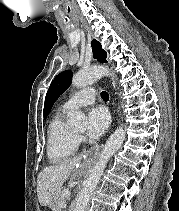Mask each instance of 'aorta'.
<instances>
[{
  "mask_svg": "<svg viewBox=\"0 0 179 211\" xmlns=\"http://www.w3.org/2000/svg\"><path fill=\"white\" fill-rule=\"evenodd\" d=\"M103 76H109L114 79V74L107 67L93 66L88 69H82L72 78V84L77 88H83L93 84ZM70 125L74 128H84L86 126L85 114L82 111H76L70 116ZM125 129L117 128L107 140L97 163L90 171L88 179L84 183V187L79 194L74 211H85L89 199L95 190L99 180L104 172L108 160L121 147L125 140Z\"/></svg>",
  "mask_w": 179,
  "mask_h": 211,
  "instance_id": "obj_1",
  "label": "aorta"
}]
</instances>
